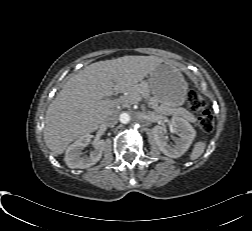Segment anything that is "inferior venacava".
Here are the masks:
<instances>
[{
    "mask_svg": "<svg viewBox=\"0 0 252 231\" xmlns=\"http://www.w3.org/2000/svg\"><path fill=\"white\" fill-rule=\"evenodd\" d=\"M118 123V115L116 113L107 116L104 120L105 126H114Z\"/></svg>",
    "mask_w": 252,
    "mask_h": 231,
    "instance_id": "1",
    "label": "inferior vena cava"
}]
</instances>
